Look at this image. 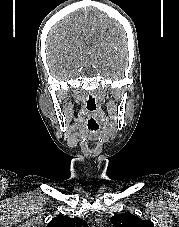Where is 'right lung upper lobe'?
I'll return each instance as SVG.
<instances>
[{"instance_id":"obj_1","label":"right lung upper lobe","mask_w":179,"mask_h":227,"mask_svg":"<svg viewBox=\"0 0 179 227\" xmlns=\"http://www.w3.org/2000/svg\"><path fill=\"white\" fill-rule=\"evenodd\" d=\"M46 227H88V225L78 217L57 216Z\"/></svg>"}]
</instances>
